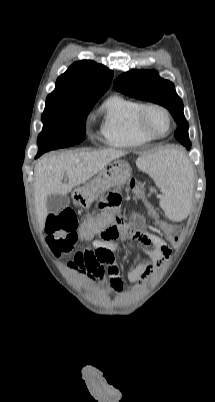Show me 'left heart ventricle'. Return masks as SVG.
Wrapping results in <instances>:
<instances>
[{
    "instance_id": "1",
    "label": "left heart ventricle",
    "mask_w": 215,
    "mask_h": 402,
    "mask_svg": "<svg viewBox=\"0 0 215 402\" xmlns=\"http://www.w3.org/2000/svg\"><path fill=\"white\" fill-rule=\"evenodd\" d=\"M148 127L155 133H164L167 130V119L165 115L158 110H150L146 116Z\"/></svg>"
}]
</instances>
